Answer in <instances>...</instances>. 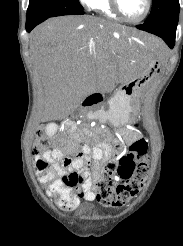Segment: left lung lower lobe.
I'll return each mask as SVG.
<instances>
[{"label":"left lung lower lobe","mask_w":183,"mask_h":246,"mask_svg":"<svg viewBox=\"0 0 183 246\" xmlns=\"http://www.w3.org/2000/svg\"><path fill=\"white\" fill-rule=\"evenodd\" d=\"M179 10L180 8L156 22L138 25L137 29L161 37L172 49L175 45V35L179 18Z\"/></svg>","instance_id":"0a47b994"}]
</instances>
